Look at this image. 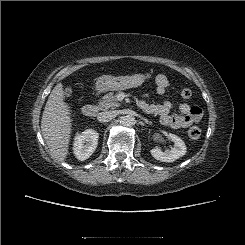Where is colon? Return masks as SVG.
<instances>
[{
    "label": "colon",
    "instance_id": "1",
    "mask_svg": "<svg viewBox=\"0 0 245 245\" xmlns=\"http://www.w3.org/2000/svg\"><path fill=\"white\" fill-rule=\"evenodd\" d=\"M71 93H72L71 88L67 87L65 89V95L70 96ZM191 95H192V92L189 88L184 87L180 90V96L183 99H188L191 97ZM188 136L192 140H198L201 137V130L198 127H192L188 131Z\"/></svg>",
    "mask_w": 245,
    "mask_h": 245
}]
</instances>
